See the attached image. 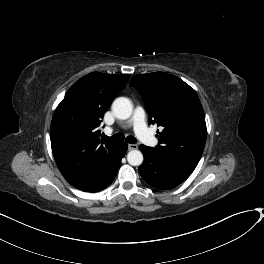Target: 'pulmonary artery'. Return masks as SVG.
<instances>
[{"label":"pulmonary artery","mask_w":264,"mask_h":264,"mask_svg":"<svg viewBox=\"0 0 264 264\" xmlns=\"http://www.w3.org/2000/svg\"><path fill=\"white\" fill-rule=\"evenodd\" d=\"M126 126H132L134 128V132L144 144L149 146L155 144L156 138L154 134L146 127L145 114L141 107H136L134 109L133 115ZM106 131L110 134L114 131V129L109 127L106 129Z\"/></svg>","instance_id":"1"}]
</instances>
